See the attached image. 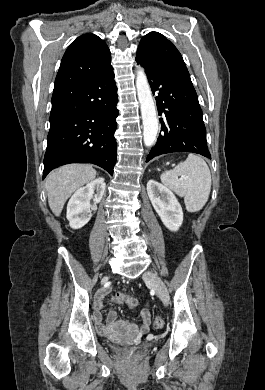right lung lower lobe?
I'll use <instances>...</instances> for the list:
<instances>
[{"instance_id": "right-lung-lower-lobe-1", "label": "right lung lower lobe", "mask_w": 265, "mask_h": 390, "mask_svg": "<svg viewBox=\"0 0 265 390\" xmlns=\"http://www.w3.org/2000/svg\"><path fill=\"white\" fill-rule=\"evenodd\" d=\"M117 102L112 66L53 91L43 178L68 163H93L113 175Z\"/></svg>"}]
</instances>
